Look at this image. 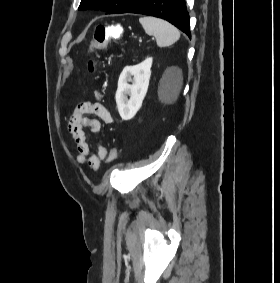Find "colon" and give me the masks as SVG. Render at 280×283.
<instances>
[{"mask_svg":"<svg viewBox=\"0 0 280 283\" xmlns=\"http://www.w3.org/2000/svg\"><path fill=\"white\" fill-rule=\"evenodd\" d=\"M123 32V26L121 25H97L94 31L93 39L90 43V51L101 49L106 46V44L115 39L116 42H123L124 38L120 37ZM88 70L93 73L95 71V62L90 59L88 62ZM118 151L114 149L110 156L109 162H114L117 159Z\"/></svg>","mask_w":280,"mask_h":283,"instance_id":"1","label":"colon"}]
</instances>
